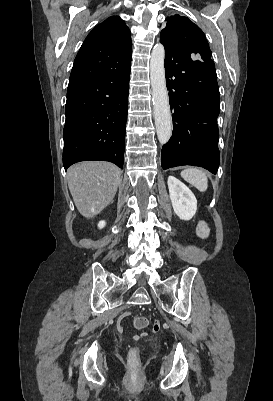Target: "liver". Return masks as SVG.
<instances>
[{
    "label": "liver",
    "mask_w": 273,
    "mask_h": 401,
    "mask_svg": "<svg viewBox=\"0 0 273 401\" xmlns=\"http://www.w3.org/2000/svg\"><path fill=\"white\" fill-rule=\"evenodd\" d=\"M121 172L112 162H79L68 168L69 190L83 217L91 219L113 201Z\"/></svg>",
    "instance_id": "liver-1"
}]
</instances>
